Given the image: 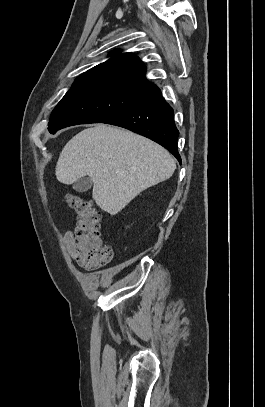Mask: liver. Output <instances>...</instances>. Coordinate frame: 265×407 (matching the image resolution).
Here are the masks:
<instances>
[{
  "instance_id": "obj_1",
  "label": "liver",
  "mask_w": 265,
  "mask_h": 407,
  "mask_svg": "<svg viewBox=\"0 0 265 407\" xmlns=\"http://www.w3.org/2000/svg\"><path fill=\"white\" fill-rule=\"evenodd\" d=\"M174 158L159 144L133 132L98 124L82 130L64 146L56 164L59 182L92 180V197L115 215L147 188L169 179Z\"/></svg>"
}]
</instances>
